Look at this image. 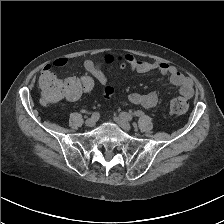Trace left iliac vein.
<instances>
[{
  "label": "left iliac vein",
  "instance_id": "left-iliac-vein-1",
  "mask_svg": "<svg viewBox=\"0 0 224 224\" xmlns=\"http://www.w3.org/2000/svg\"><path fill=\"white\" fill-rule=\"evenodd\" d=\"M114 120L123 130L125 131L131 130V124L126 119L122 117H115Z\"/></svg>",
  "mask_w": 224,
  "mask_h": 224
}]
</instances>
